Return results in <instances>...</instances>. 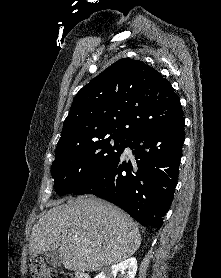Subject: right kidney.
I'll return each instance as SVG.
<instances>
[{
    "label": "right kidney",
    "instance_id": "1",
    "mask_svg": "<svg viewBox=\"0 0 221 278\" xmlns=\"http://www.w3.org/2000/svg\"><path fill=\"white\" fill-rule=\"evenodd\" d=\"M137 271V260L134 257L126 259L117 265L105 267L95 278H134Z\"/></svg>",
    "mask_w": 221,
    "mask_h": 278
}]
</instances>
